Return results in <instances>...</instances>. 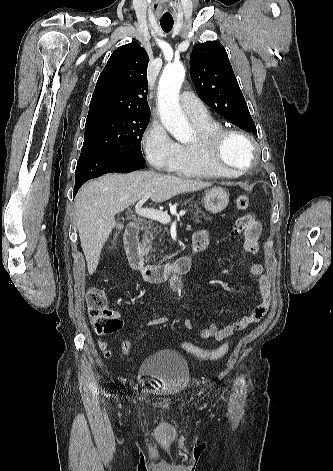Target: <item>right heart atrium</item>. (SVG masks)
<instances>
[{
  "label": "right heart atrium",
  "mask_w": 333,
  "mask_h": 471,
  "mask_svg": "<svg viewBox=\"0 0 333 471\" xmlns=\"http://www.w3.org/2000/svg\"><path fill=\"white\" fill-rule=\"evenodd\" d=\"M142 146L147 160L157 170L170 171L177 160L179 144L158 121H153L146 129Z\"/></svg>",
  "instance_id": "obj_1"
}]
</instances>
